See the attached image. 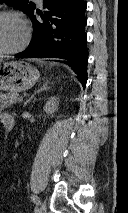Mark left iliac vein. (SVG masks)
Masks as SVG:
<instances>
[{
	"instance_id": "obj_1",
	"label": "left iliac vein",
	"mask_w": 128,
	"mask_h": 213,
	"mask_svg": "<svg viewBox=\"0 0 128 213\" xmlns=\"http://www.w3.org/2000/svg\"><path fill=\"white\" fill-rule=\"evenodd\" d=\"M39 213H46V205L44 202L39 203Z\"/></svg>"
}]
</instances>
